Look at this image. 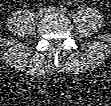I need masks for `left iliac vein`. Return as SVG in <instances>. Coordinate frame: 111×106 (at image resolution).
Here are the masks:
<instances>
[{"instance_id":"4c4485c4","label":"left iliac vein","mask_w":111,"mask_h":106,"mask_svg":"<svg viewBox=\"0 0 111 106\" xmlns=\"http://www.w3.org/2000/svg\"><path fill=\"white\" fill-rule=\"evenodd\" d=\"M50 12L61 13L62 11H60V10H54V11H50Z\"/></svg>"}]
</instances>
